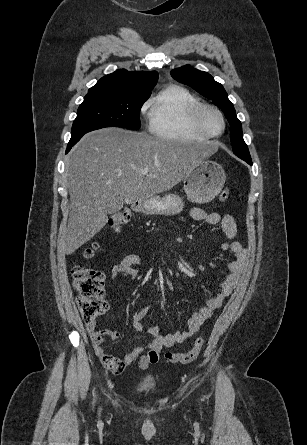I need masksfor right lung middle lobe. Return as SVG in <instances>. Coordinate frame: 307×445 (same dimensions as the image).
Segmentation results:
<instances>
[{"label":"right lung middle lobe","instance_id":"1","mask_svg":"<svg viewBox=\"0 0 307 445\" xmlns=\"http://www.w3.org/2000/svg\"><path fill=\"white\" fill-rule=\"evenodd\" d=\"M148 98L112 95L85 96L72 126V137L104 127L140 128L139 113Z\"/></svg>","mask_w":307,"mask_h":445}]
</instances>
